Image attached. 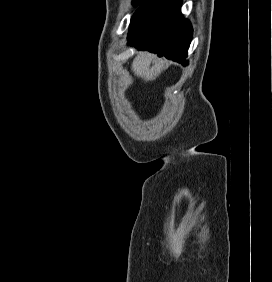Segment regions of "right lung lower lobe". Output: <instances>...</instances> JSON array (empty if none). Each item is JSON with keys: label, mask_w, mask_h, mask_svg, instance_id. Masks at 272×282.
<instances>
[{"label": "right lung lower lobe", "mask_w": 272, "mask_h": 282, "mask_svg": "<svg viewBox=\"0 0 272 282\" xmlns=\"http://www.w3.org/2000/svg\"><path fill=\"white\" fill-rule=\"evenodd\" d=\"M182 0H144L134 13L128 45L186 65L192 27L180 12Z\"/></svg>", "instance_id": "obj_1"}]
</instances>
